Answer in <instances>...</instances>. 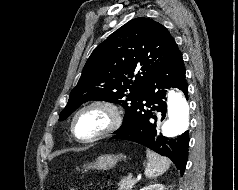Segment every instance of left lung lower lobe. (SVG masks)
<instances>
[{
	"label": "left lung lower lobe",
	"instance_id": "left-lung-lower-lobe-1",
	"mask_svg": "<svg viewBox=\"0 0 238 190\" xmlns=\"http://www.w3.org/2000/svg\"><path fill=\"white\" fill-rule=\"evenodd\" d=\"M180 89L188 98L185 67L180 51L149 79L129 118L112 139L129 140L170 158L184 174L188 160L189 133L166 138L158 133L156 122L166 114V88Z\"/></svg>",
	"mask_w": 238,
	"mask_h": 190
}]
</instances>
